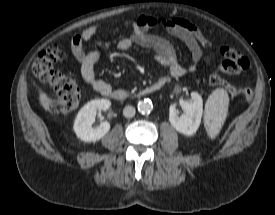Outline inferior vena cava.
<instances>
[{
	"label": "inferior vena cava",
	"instance_id": "obj_1",
	"mask_svg": "<svg viewBox=\"0 0 275 215\" xmlns=\"http://www.w3.org/2000/svg\"><path fill=\"white\" fill-rule=\"evenodd\" d=\"M135 108L133 106H126L124 109H123V115L126 117V118H131L135 115Z\"/></svg>",
	"mask_w": 275,
	"mask_h": 215
}]
</instances>
